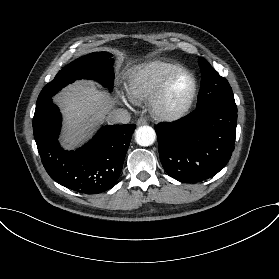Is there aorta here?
I'll return each mask as SVG.
<instances>
[{"label": "aorta", "instance_id": "obj_1", "mask_svg": "<svg viewBox=\"0 0 279 279\" xmlns=\"http://www.w3.org/2000/svg\"><path fill=\"white\" fill-rule=\"evenodd\" d=\"M155 139V130L150 126H141L136 130L135 140L140 146H150Z\"/></svg>", "mask_w": 279, "mask_h": 279}]
</instances>
